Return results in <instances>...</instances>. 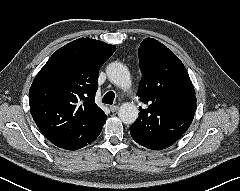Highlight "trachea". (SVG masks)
<instances>
[{"label":"trachea","instance_id":"3493384b","mask_svg":"<svg viewBox=\"0 0 240 191\" xmlns=\"http://www.w3.org/2000/svg\"><path fill=\"white\" fill-rule=\"evenodd\" d=\"M114 98H115V93L113 91H109L104 95L102 99V103L112 105L114 102Z\"/></svg>","mask_w":240,"mask_h":191}]
</instances>
